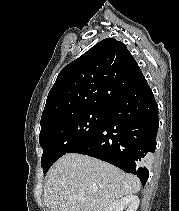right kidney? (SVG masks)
Here are the masks:
<instances>
[{"label":"right kidney","mask_w":179,"mask_h":211,"mask_svg":"<svg viewBox=\"0 0 179 211\" xmlns=\"http://www.w3.org/2000/svg\"><path fill=\"white\" fill-rule=\"evenodd\" d=\"M139 198L136 195H127L120 200L111 203L105 211H137L139 207Z\"/></svg>","instance_id":"1"}]
</instances>
